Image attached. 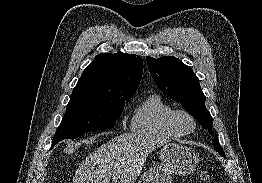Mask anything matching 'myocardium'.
<instances>
[{
  "instance_id": "obj_1",
  "label": "myocardium",
  "mask_w": 262,
  "mask_h": 183,
  "mask_svg": "<svg viewBox=\"0 0 262 183\" xmlns=\"http://www.w3.org/2000/svg\"><path fill=\"white\" fill-rule=\"evenodd\" d=\"M187 118L192 123V128L186 130L182 125V119ZM171 123L173 127L183 135H189L195 132L197 128V121L195 117L186 110H175L171 117Z\"/></svg>"
}]
</instances>
